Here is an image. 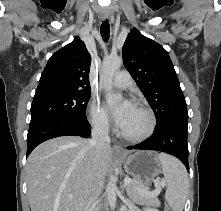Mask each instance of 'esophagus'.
Wrapping results in <instances>:
<instances>
[{
	"mask_svg": "<svg viewBox=\"0 0 221 211\" xmlns=\"http://www.w3.org/2000/svg\"><path fill=\"white\" fill-rule=\"evenodd\" d=\"M109 17V11L107 10H104L102 12V19H107ZM113 151L116 153V154H123V148L118 145V144H114L113 145Z\"/></svg>",
	"mask_w": 221,
	"mask_h": 211,
	"instance_id": "1",
	"label": "esophagus"
}]
</instances>
